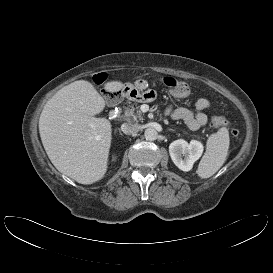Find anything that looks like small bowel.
Segmentation results:
<instances>
[{"label":"small bowel","instance_id":"1","mask_svg":"<svg viewBox=\"0 0 273 273\" xmlns=\"http://www.w3.org/2000/svg\"><path fill=\"white\" fill-rule=\"evenodd\" d=\"M210 107L207 99L201 98L196 101L194 109L186 107H168L166 113L174 120H182L191 130H198L205 126L208 117L205 111Z\"/></svg>","mask_w":273,"mask_h":273}]
</instances>
